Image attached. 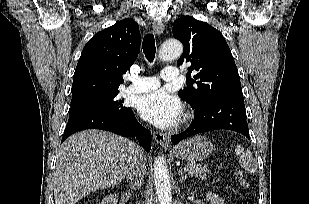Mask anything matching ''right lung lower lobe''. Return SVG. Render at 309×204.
I'll return each mask as SVG.
<instances>
[{"label": "right lung lower lobe", "mask_w": 309, "mask_h": 204, "mask_svg": "<svg viewBox=\"0 0 309 204\" xmlns=\"http://www.w3.org/2000/svg\"><path fill=\"white\" fill-rule=\"evenodd\" d=\"M85 129H100L124 137H136L147 152L151 149V132L138 123L131 109L123 117L102 112L72 115L69 117L62 142L70 135Z\"/></svg>", "instance_id": "obj_1"}]
</instances>
